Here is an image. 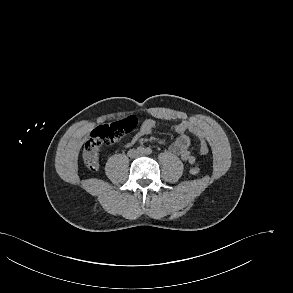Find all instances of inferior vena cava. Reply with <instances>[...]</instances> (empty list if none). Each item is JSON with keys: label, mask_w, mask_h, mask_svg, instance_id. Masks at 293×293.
I'll list each match as a JSON object with an SVG mask.
<instances>
[{"label": "inferior vena cava", "mask_w": 293, "mask_h": 293, "mask_svg": "<svg viewBox=\"0 0 293 293\" xmlns=\"http://www.w3.org/2000/svg\"><path fill=\"white\" fill-rule=\"evenodd\" d=\"M133 156H137V154H133Z\"/></svg>", "instance_id": "inferior-vena-cava-1"}]
</instances>
